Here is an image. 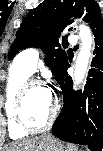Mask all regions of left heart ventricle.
Listing matches in <instances>:
<instances>
[{
	"label": "left heart ventricle",
	"instance_id": "1",
	"mask_svg": "<svg viewBox=\"0 0 103 151\" xmlns=\"http://www.w3.org/2000/svg\"><path fill=\"white\" fill-rule=\"evenodd\" d=\"M51 107L52 100L48 90L41 86H33L27 92L24 101L23 117L31 126H43L49 118Z\"/></svg>",
	"mask_w": 103,
	"mask_h": 151
}]
</instances>
